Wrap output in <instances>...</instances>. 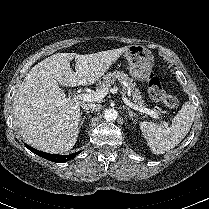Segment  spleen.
Returning <instances> with one entry per match:
<instances>
[{
    "instance_id": "1",
    "label": "spleen",
    "mask_w": 209,
    "mask_h": 209,
    "mask_svg": "<svg viewBox=\"0 0 209 209\" xmlns=\"http://www.w3.org/2000/svg\"><path fill=\"white\" fill-rule=\"evenodd\" d=\"M195 118L194 105L187 101L168 126L141 122L140 129L154 154H163L177 146L188 134Z\"/></svg>"
}]
</instances>
